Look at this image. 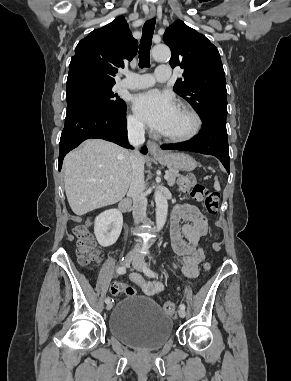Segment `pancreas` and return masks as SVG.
I'll return each instance as SVG.
<instances>
[{"instance_id":"pancreas-1","label":"pancreas","mask_w":291,"mask_h":381,"mask_svg":"<svg viewBox=\"0 0 291 381\" xmlns=\"http://www.w3.org/2000/svg\"><path fill=\"white\" fill-rule=\"evenodd\" d=\"M168 174H169V178L167 179V183L169 186H173L175 184L176 178L179 176V171L170 169L168 171Z\"/></svg>"}]
</instances>
